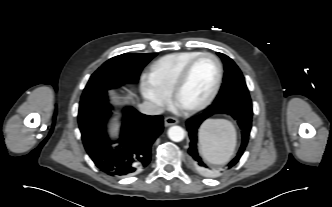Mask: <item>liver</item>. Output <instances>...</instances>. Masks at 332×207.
Returning a JSON list of instances; mask_svg holds the SVG:
<instances>
[{
	"mask_svg": "<svg viewBox=\"0 0 332 207\" xmlns=\"http://www.w3.org/2000/svg\"><path fill=\"white\" fill-rule=\"evenodd\" d=\"M110 94H111L113 100L117 101V99L119 97H118L116 91H110ZM134 97H135V93L132 92L131 90H128V93H127V95L124 98L127 99V100H132ZM117 127H118L117 125H114V128L111 129V132L112 133L117 132Z\"/></svg>",
	"mask_w": 332,
	"mask_h": 207,
	"instance_id": "1",
	"label": "liver"
}]
</instances>
